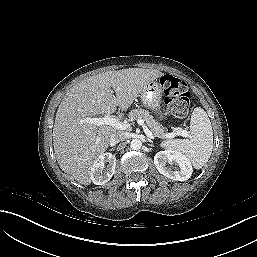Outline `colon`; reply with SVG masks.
I'll use <instances>...</instances> for the list:
<instances>
[{
    "label": "colon",
    "instance_id": "obj_1",
    "mask_svg": "<svg viewBox=\"0 0 257 257\" xmlns=\"http://www.w3.org/2000/svg\"><path fill=\"white\" fill-rule=\"evenodd\" d=\"M164 91V100L171 113L180 119L187 116L190 105V92L181 79L165 74L160 79Z\"/></svg>",
    "mask_w": 257,
    "mask_h": 257
}]
</instances>
